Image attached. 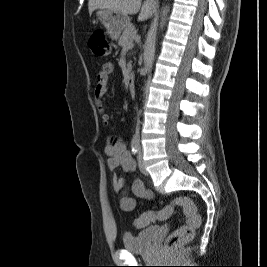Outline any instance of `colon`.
<instances>
[{"instance_id":"1","label":"colon","mask_w":267,"mask_h":267,"mask_svg":"<svg viewBox=\"0 0 267 267\" xmlns=\"http://www.w3.org/2000/svg\"><path fill=\"white\" fill-rule=\"evenodd\" d=\"M88 44L96 56L105 57L110 54V44L100 31H96L90 36ZM177 207L183 210L186 220L183 225L168 235L165 240V245L167 248H174L186 243L193 238L196 229L201 224V217L198 213L197 206L188 196L174 198L170 204L159 211L144 212L135 219L134 225L137 228H143L153 222L166 220L173 214Z\"/></svg>"}]
</instances>
